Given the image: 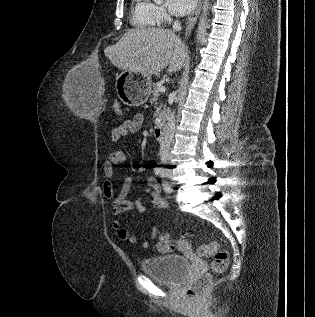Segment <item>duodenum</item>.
<instances>
[{
	"instance_id": "duodenum-1",
	"label": "duodenum",
	"mask_w": 315,
	"mask_h": 317,
	"mask_svg": "<svg viewBox=\"0 0 315 317\" xmlns=\"http://www.w3.org/2000/svg\"><path fill=\"white\" fill-rule=\"evenodd\" d=\"M165 127H166V122L164 116L160 117L159 120L157 121L155 128H154V137L157 140H161L164 137L165 134Z\"/></svg>"
}]
</instances>
